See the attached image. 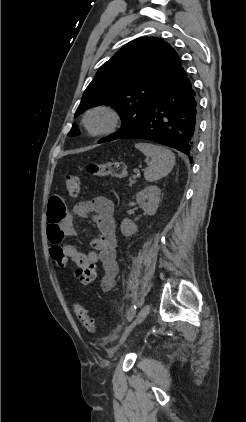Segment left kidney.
Returning <instances> with one entry per match:
<instances>
[{"instance_id":"obj_1","label":"left kidney","mask_w":246,"mask_h":422,"mask_svg":"<svg viewBox=\"0 0 246 422\" xmlns=\"http://www.w3.org/2000/svg\"><path fill=\"white\" fill-rule=\"evenodd\" d=\"M161 190L155 185L147 186L137 193L136 202L147 215H154L159 207ZM121 233L128 237L138 232L136 224L128 218L120 225Z\"/></svg>"}]
</instances>
